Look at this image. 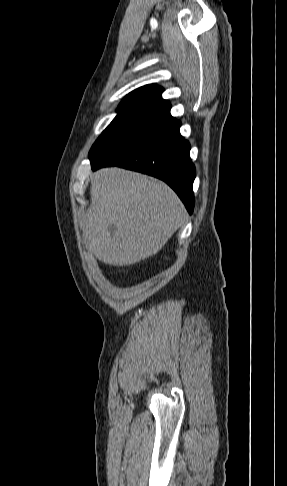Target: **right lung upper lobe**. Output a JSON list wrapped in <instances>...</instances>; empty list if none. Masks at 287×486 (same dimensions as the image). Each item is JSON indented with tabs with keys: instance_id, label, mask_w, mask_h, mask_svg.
Masks as SVG:
<instances>
[{
	"instance_id": "cb5924a9",
	"label": "right lung upper lobe",
	"mask_w": 287,
	"mask_h": 486,
	"mask_svg": "<svg viewBox=\"0 0 287 486\" xmlns=\"http://www.w3.org/2000/svg\"><path fill=\"white\" fill-rule=\"evenodd\" d=\"M163 88L150 84L129 93L119 107H152L169 111L171 108L167 100L162 99Z\"/></svg>"
}]
</instances>
